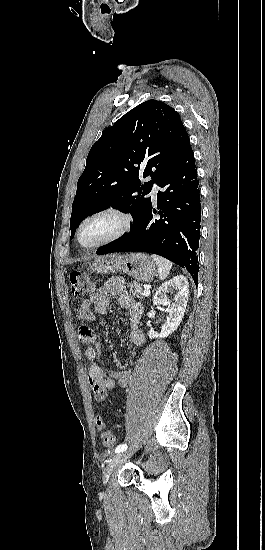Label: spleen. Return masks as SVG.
I'll return each mask as SVG.
<instances>
[{
    "label": "spleen",
    "mask_w": 265,
    "mask_h": 550,
    "mask_svg": "<svg viewBox=\"0 0 265 550\" xmlns=\"http://www.w3.org/2000/svg\"><path fill=\"white\" fill-rule=\"evenodd\" d=\"M152 259L156 262L158 266V276L160 280H164L170 273L172 268V263L167 259L160 257L158 255H152Z\"/></svg>",
    "instance_id": "spleen-1"
}]
</instances>
